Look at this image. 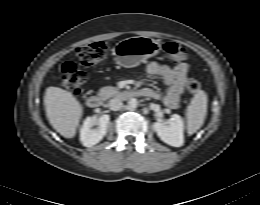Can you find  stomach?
<instances>
[{"instance_id":"obj_1","label":"stomach","mask_w":260,"mask_h":205,"mask_svg":"<svg viewBox=\"0 0 260 205\" xmlns=\"http://www.w3.org/2000/svg\"><path fill=\"white\" fill-rule=\"evenodd\" d=\"M159 51L160 44L152 38L130 37L116 44L114 48L115 62L120 66L131 68L157 55Z\"/></svg>"}]
</instances>
